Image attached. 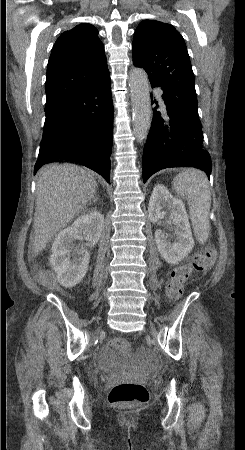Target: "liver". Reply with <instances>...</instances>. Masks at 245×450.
<instances>
[{"mask_svg": "<svg viewBox=\"0 0 245 450\" xmlns=\"http://www.w3.org/2000/svg\"><path fill=\"white\" fill-rule=\"evenodd\" d=\"M96 190L92 175L76 165L52 164L40 170L33 224L35 256L91 202Z\"/></svg>", "mask_w": 245, "mask_h": 450, "instance_id": "obj_1", "label": "liver"}]
</instances>
